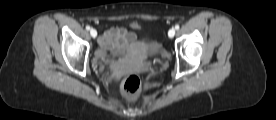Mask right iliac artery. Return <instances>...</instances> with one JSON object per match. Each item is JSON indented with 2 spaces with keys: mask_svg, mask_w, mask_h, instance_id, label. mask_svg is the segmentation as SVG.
Wrapping results in <instances>:
<instances>
[{
  "mask_svg": "<svg viewBox=\"0 0 276 120\" xmlns=\"http://www.w3.org/2000/svg\"><path fill=\"white\" fill-rule=\"evenodd\" d=\"M91 28H90V26L89 25H87L86 26V30H90Z\"/></svg>",
  "mask_w": 276,
  "mask_h": 120,
  "instance_id": "obj_1",
  "label": "right iliac artery"
}]
</instances>
